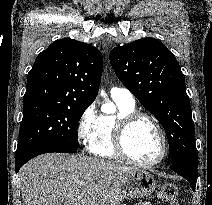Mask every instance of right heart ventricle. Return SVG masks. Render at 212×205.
Instances as JSON below:
<instances>
[{
    "label": "right heart ventricle",
    "instance_id": "e07e8e85",
    "mask_svg": "<svg viewBox=\"0 0 212 205\" xmlns=\"http://www.w3.org/2000/svg\"><path fill=\"white\" fill-rule=\"evenodd\" d=\"M118 112L116 115H102L98 117L96 130L90 143L88 151L101 158L119 159L121 158L114 149L113 145V129L116 120L127 113L135 110V105H129L120 101L114 100Z\"/></svg>",
    "mask_w": 212,
    "mask_h": 205
}]
</instances>
